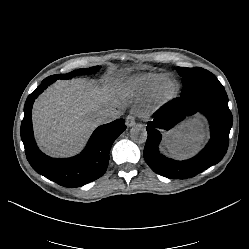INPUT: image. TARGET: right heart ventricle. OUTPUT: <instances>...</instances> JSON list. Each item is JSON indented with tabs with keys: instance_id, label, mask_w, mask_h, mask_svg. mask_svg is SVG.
<instances>
[{
	"instance_id": "right-heart-ventricle-1",
	"label": "right heart ventricle",
	"mask_w": 249,
	"mask_h": 249,
	"mask_svg": "<svg viewBox=\"0 0 249 249\" xmlns=\"http://www.w3.org/2000/svg\"><path fill=\"white\" fill-rule=\"evenodd\" d=\"M168 75L166 71H151L136 75L130 81V89L133 93H146L156 82Z\"/></svg>"
}]
</instances>
